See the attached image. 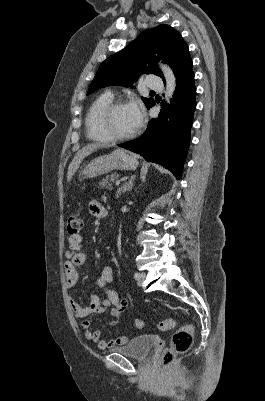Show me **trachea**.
Returning a JSON list of instances; mask_svg holds the SVG:
<instances>
[{"label":"trachea","instance_id":"1","mask_svg":"<svg viewBox=\"0 0 265 401\" xmlns=\"http://www.w3.org/2000/svg\"><path fill=\"white\" fill-rule=\"evenodd\" d=\"M150 93H155V92L153 90H151Z\"/></svg>","mask_w":265,"mask_h":401}]
</instances>
